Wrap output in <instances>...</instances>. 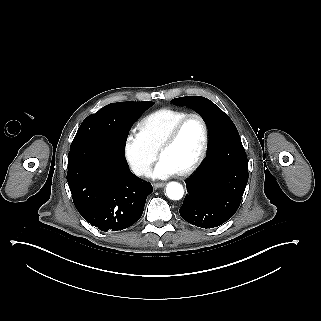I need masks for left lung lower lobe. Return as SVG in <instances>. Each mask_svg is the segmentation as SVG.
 Here are the masks:
<instances>
[{
	"label": "left lung lower lobe",
	"mask_w": 321,
	"mask_h": 321,
	"mask_svg": "<svg viewBox=\"0 0 321 321\" xmlns=\"http://www.w3.org/2000/svg\"><path fill=\"white\" fill-rule=\"evenodd\" d=\"M248 160L239 135L209 144L208 154L187 179L181 217L201 228L226 222L239 208L248 182Z\"/></svg>",
	"instance_id": "left-lung-lower-lobe-1"
}]
</instances>
